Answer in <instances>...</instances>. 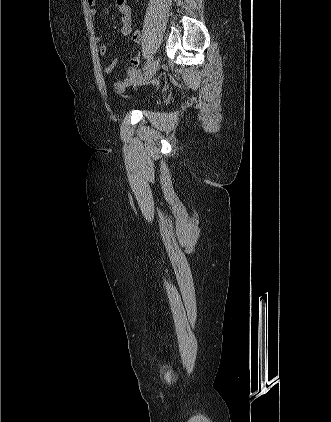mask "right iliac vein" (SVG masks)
<instances>
[{"label": "right iliac vein", "instance_id": "1", "mask_svg": "<svg viewBox=\"0 0 331 422\" xmlns=\"http://www.w3.org/2000/svg\"><path fill=\"white\" fill-rule=\"evenodd\" d=\"M157 69H158V61L155 60L146 70L145 76L143 79V84L147 83L154 76Z\"/></svg>", "mask_w": 331, "mask_h": 422}]
</instances>
